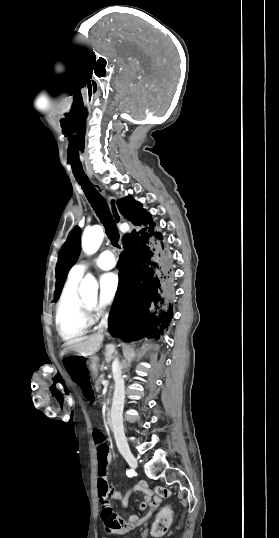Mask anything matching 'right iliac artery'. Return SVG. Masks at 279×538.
<instances>
[{
  "instance_id": "1",
  "label": "right iliac artery",
  "mask_w": 279,
  "mask_h": 538,
  "mask_svg": "<svg viewBox=\"0 0 279 538\" xmlns=\"http://www.w3.org/2000/svg\"><path fill=\"white\" fill-rule=\"evenodd\" d=\"M127 475H128L129 477H133V476L135 475L134 470H133V469H129V470H127Z\"/></svg>"
}]
</instances>
